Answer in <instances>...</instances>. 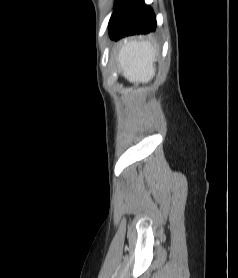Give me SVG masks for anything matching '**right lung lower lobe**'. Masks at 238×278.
Listing matches in <instances>:
<instances>
[{
	"label": "right lung lower lobe",
	"mask_w": 238,
	"mask_h": 278,
	"mask_svg": "<svg viewBox=\"0 0 238 278\" xmlns=\"http://www.w3.org/2000/svg\"><path fill=\"white\" fill-rule=\"evenodd\" d=\"M156 29L153 10L144 0H116L109 21L111 39H119L133 34H147Z\"/></svg>",
	"instance_id": "obj_1"
}]
</instances>
